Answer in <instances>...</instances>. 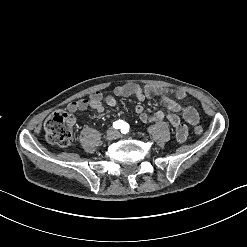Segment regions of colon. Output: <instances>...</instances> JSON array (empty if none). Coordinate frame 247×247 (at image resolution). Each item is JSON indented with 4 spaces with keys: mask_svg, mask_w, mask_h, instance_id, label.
Segmentation results:
<instances>
[{
    "mask_svg": "<svg viewBox=\"0 0 247 247\" xmlns=\"http://www.w3.org/2000/svg\"><path fill=\"white\" fill-rule=\"evenodd\" d=\"M45 139L50 145L68 147L72 141V122L63 111L52 113L43 124ZM198 135L203 133L201 125L194 127Z\"/></svg>",
    "mask_w": 247,
    "mask_h": 247,
    "instance_id": "5ec220e1",
    "label": "colon"
}]
</instances>
